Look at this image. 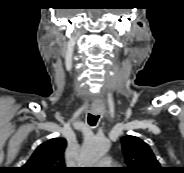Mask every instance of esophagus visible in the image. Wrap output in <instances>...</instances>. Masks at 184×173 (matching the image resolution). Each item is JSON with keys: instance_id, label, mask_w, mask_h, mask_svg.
<instances>
[{"instance_id": "34e87169", "label": "esophagus", "mask_w": 184, "mask_h": 173, "mask_svg": "<svg viewBox=\"0 0 184 173\" xmlns=\"http://www.w3.org/2000/svg\"><path fill=\"white\" fill-rule=\"evenodd\" d=\"M92 112L95 113V114L98 113V111L96 109H92Z\"/></svg>"}]
</instances>
